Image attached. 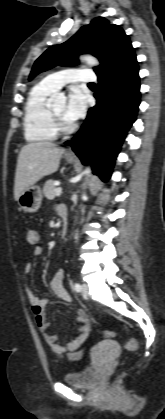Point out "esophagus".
<instances>
[{
	"instance_id": "obj_1",
	"label": "esophagus",
	"mask_w": 165,
	"mask_h": 419,
	"mask_svg": "<svg viewBox=\"0 0 165 419\" xmlns=\"http://www.w3.org/2000/svg\"><path fill=\"white\" fill-rule=\"evenodd\" d=\"M66 155L69 156V157H74L75 156V154L72 150L67 151Z\"/></svg>"
}]
</instances>
